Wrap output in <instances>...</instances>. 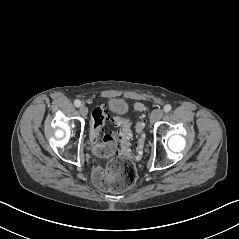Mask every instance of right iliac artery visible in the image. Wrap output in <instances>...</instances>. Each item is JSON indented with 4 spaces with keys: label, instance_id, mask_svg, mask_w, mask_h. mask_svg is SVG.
Wrapping results in <instances>:
<instances>
[{
    "label": "right iliac artery",
    "instance_id": "obj_1",
    "mask_svg": "<svg viewBox=\"0 0 239 239\" xmlns=\"http://www.w3.org/2000/svg\"><path fill=\"white\" fill-rule=\"evenodd\" d=\"M74 105H75L76 107H80V106H81V101H80V100H75V101H74Z\"/></svg>",
    "mask_w": 239,
    "mask_h": 239
}]
</instances>
